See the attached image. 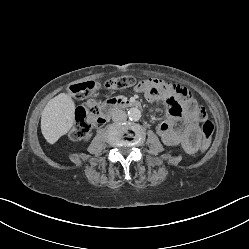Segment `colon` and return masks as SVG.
<instances>
[{"mask_svg":"<svg viewBox=\"0 0 249 249\" xmlns=\"http://www.w3.org/2000/svg\"><path fill=\"white\" fill-rule=\"evenodd\" d=\"M142 82H138L130 76L113 77L105 82V87L110 90L126 89L140 86ZM97 83L93 81H85L74 83L69 87V93L76 99L88 97L97 88ZM101 121V107L96 101H88L82 107L78 108L75 114V125L71 130L70 137L73 140H82L88 136L93 125ZM198 121L202 132V149L205 150L212 139L214 126L209 119L204 108H200L198 112Z\"/></svg>","mask_w":249,"mask_h":249,"instance_id":"colon-1","label":"colon"}]
</instances>
